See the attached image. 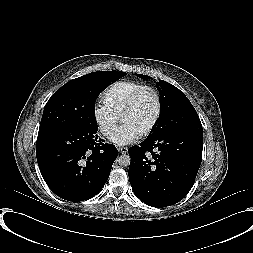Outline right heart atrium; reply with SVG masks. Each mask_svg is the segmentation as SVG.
Segmentation results:
<instances>
[{"label":"right heart atrium","mask_w":253,"mask_h":253,"mask_svg":"<svg viewBox=\"0 0 253 253\" xmlns=\"http://www.w3.org/2000/svg\"><path fill=\"white\" fill-rule=\"evenodd\" d=\"M93 118L101 135L110 137L116 129L119 116L103 101H98L93 108Z\"/></svg>","instance_id":"obj_1"}]
</instances>
